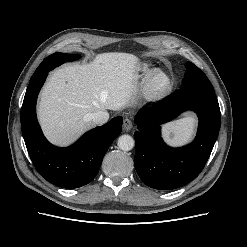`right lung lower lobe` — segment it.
I'll list each match as a JSON object with an SVG mask.
<instances>
[{
    "mask_svg": "<svg viewBox=\"0 0 247 247\" xmlns=\"http://www.w3.org/2000/svg\"><path fill=\"white\" fill-rule=\"evenodd\" d=\"M49 71L30 79L21 108V127L30 158L39 174L63 188H78L97 175L103 157L122 130L121 116L85 133L75 144L59 148L44 137L36 117V100Z\"/></svg>",
    "mask_w": 247,
    "mask_h": 247,
    "instance_id": "obj_1",
    "label": "right lung lower lobe"
}]
</instances>
